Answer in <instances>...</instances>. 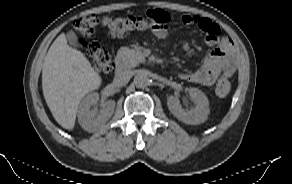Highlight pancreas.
<instances>
[{
    "instance_id": "1",
    "label": "pancreas",
    "mask_w": 292,
    "mask_h": 184,
    "mask_svg": "<svg viewBox=\"0 0 292 184\" xmlns=\"http://www.w3.org/2000/svg\"><path fill=\"white\" fill-rule=\"evenodd\" d=\"M117 57L121 60L122 68L130 69L137 66L144 61V56L139 49H129L122 47L117 54Z\"/></svg>"
}]
</instances>
